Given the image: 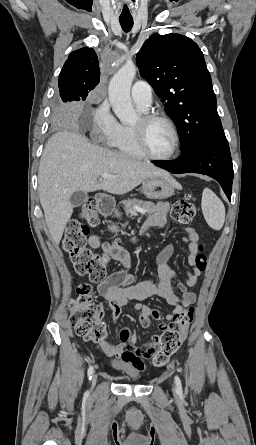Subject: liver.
Listing matches in <instances>:
<instances>
[{"label": "liver", "mask_w": 256, "mask_h": 445, "mask_svg": "<svg viewBox=\"0 0 256 445\" xmlns=\"http://www.w3.org/2000/svg\"><path fill=\"white\" fill-rule=\"evenodd\" d=\"M103 173L114 177L99 182ZM153 176L169 174L149 163L95 146L77 132L63 130L53 134L41 156L38 192L54 244H59L73 213L70 198L74 192L104 190L122 195Z\"/></svg>", "instance_id": "1"}]
</instances>
